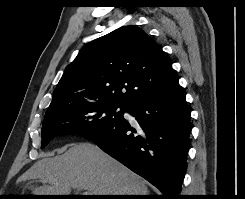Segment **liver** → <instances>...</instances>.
I'll use <instances>...</instances> for the list:
<instances>
[{"instance_id":"1","label":"liver","mask_w":245,"mask_h":199,"mask_svg":"<svg viewBox=\"0 0 245 199\" xmlns=\"http://www.w3.org/2000/svg\"><path fill=\"white\" fill-rule=\"evenodd\" d=\"M41 179L34 195H69L87 190L92 195H147L145 181L89 142L72 144L62 155L44 157L18 180ZM48 184V185H47Z\"/></svg>"}]
</instances>
